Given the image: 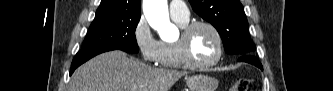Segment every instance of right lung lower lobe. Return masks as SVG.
Segmentation results:
<instances>
[{
  "label": "right lung lower lobe",
  "mask_w": 333,
  "mask_h": 91,
  "mask_svg": "<svg viewBox=\"0 0 333 91\" xmlns=\"http://www.w3.org/2000/svg\"><path fill=\"white\" fill-rule=\"evenodd\" d=\"M112 49H101V50H93V51H79L75 58L73 59V62L71 64V70H70V75L74 72V70L80 66L81 64H83L84 62H86L87 60H89L90 58L106 52V51H111Z\"/></svg>",
  "instance_id": "98d812e1"
}]
</instances>
